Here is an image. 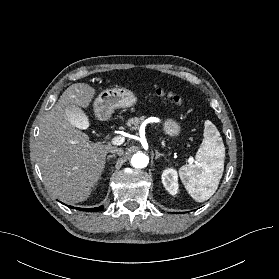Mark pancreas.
Returning a JSON list of instances; mask_svg holds the SVG:
<instances>
[{"mask_svg":"<svg viewBox=\"0 0 279 279\" xmlns=\"http://www.w3.org/2000/svg\"><path fill=\"white\" fill-rule=\"evenodd\" d=\"M145 119V117H141V118H132L128 121L127 125L129 127H131V130H136L139 128L141 122Z\"/></svg>","mask_w":279,"mask_h":279,"instance_id":"pancreas-1","label":"pancreas"}]
</instances>
